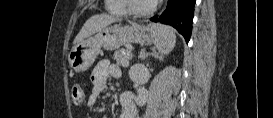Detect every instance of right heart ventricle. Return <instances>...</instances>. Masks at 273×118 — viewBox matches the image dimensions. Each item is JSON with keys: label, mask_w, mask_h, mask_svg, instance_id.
<instances>
[{"label": "right heart ventricle", "mask_w": 273, "mask_h": 118, "mask_svg": "<svg viewBox=\"0 0 273 118\" xmlns=\"http://www.w3.org/2000/svg\"><path fill=\"white\" fill-rule=\"evenodd\" d=\"M107 10L113 14H126L127 7L125 0H108L106 5Z\"/></svg>", "instance_id": "obj_1"}]
</instances>
